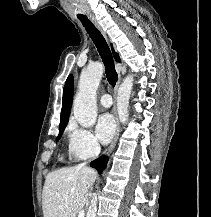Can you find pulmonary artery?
<instances>
[{"label":"pulmonary artery","mask_w":211,"mask_h":217,"mask_svg":"<svg viewBox=\"0 0 211 217\" xmlns=\"http://www.w3.org/2000/svg\"><path fill=\"white\" fill-rule=\"evenodd\" d=\"M99 102L103 107L109 108L112 105V98L109 94H104L100 97Z\"/></svg>","instance_id":"pulmonary-artery-1"}]
</instances>
